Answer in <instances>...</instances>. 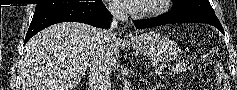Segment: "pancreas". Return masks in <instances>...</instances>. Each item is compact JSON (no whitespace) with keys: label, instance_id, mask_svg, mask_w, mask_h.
<instances>
[{"label":"pancreas","instance_id":"cf45deb5","mask_svg":"<svg viewBox=\"0 0 237 90\" xmlns=\"http://www.w3.org/2000/svg\"><path fill=\"white\" fill-rule=\"evenodd\" d=\"M192 68L191 64H178L175 68H172L173 74H180V72H188Z\"/></svg>","mask_w":237,"mask_h":90}]
</instances>
